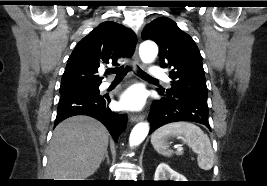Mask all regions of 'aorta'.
I'll use <instances>...</instances> for the list:
<instances>
[{
	"mask_svg": "<svg viewBox=\"0 0 267 186\" xmlns=\"http://www.w3.org/2000/svg\"><path fill=\"white\" fill-rule=\"evenodd\" d=\"M158 54V47L152 41H145L140 45L139 55L143 62L151 63ZM149 133V124L147 122L138 123L131 131L129 137L130 146L139 145Z\"/></svg>",
	"mask_w": 267,
	"mask_h": 186,
	"instance_id": "762f6f07",
	"label": "aorta"
}]
</instances>
